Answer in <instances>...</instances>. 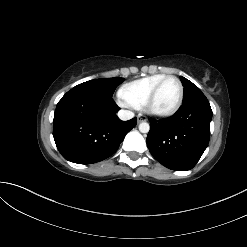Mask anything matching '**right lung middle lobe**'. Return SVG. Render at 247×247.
<instances>
[{"label": "right lung middle lobe", "instance_id": "dd1d6c3e", "mask_svg": "<svg viewBox=\"0 0 247 247\" xmlns=\"http://www.w3.org/2000/svg\"><path fill=\"white\" fill-rule=\"evenodd\" d=\"M125 79L116 77V78H105V79H95L90 80L84 83H81L71 90H80V91H98L112 96L116 87L120 85Z\"/></svg>", "mask_w": 247, "mask_h": 247}]
</instances>
